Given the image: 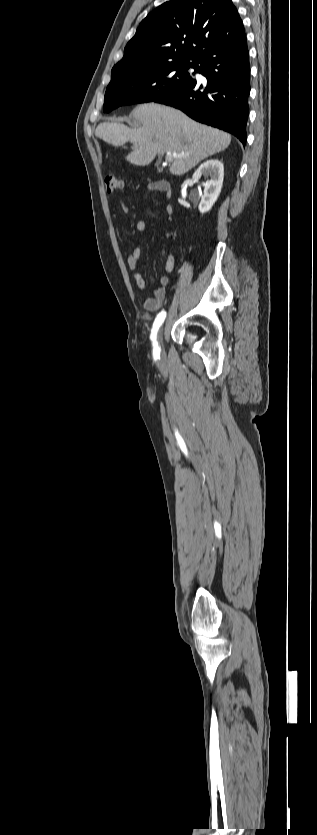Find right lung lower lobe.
<instances>
[{
    "label": "right lung lower lobe",
    "instance_id": "obj_1",
    "mask_svg": "<svg viewBox=\"0 0 317 835\" xmlns=\"http://www.w3.org/2000/svg\"><path fill=\"white\" fill-rule=\"evenodd\" d=\"M196 72L207 85L195 79L160 96L154 102L182 110L192 119L225 130L246 142L250 93V64L246 39L204 54Z\"/></svg>",
    "mask_w": 317,
    "mask_h": 835
}]
</instances>
